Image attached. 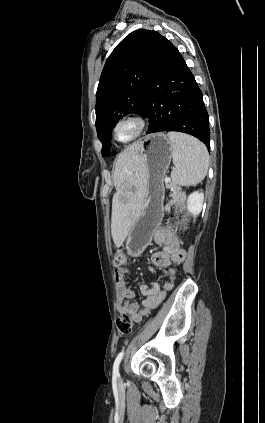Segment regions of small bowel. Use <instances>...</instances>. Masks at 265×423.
<instances>
[{
  "label": "small bowel",
  "mask_w": 265,
  "mask_h": 423,
  "mask_svg": "<svg viewBox=\"0 0 265 423\" xmlns=\"http://www.w3.org/2000/svg\"><path fill=\"white\" fill-rule=\"evenodd\" d=\"M156 245L162 247V250L155 252L151 256L153 267L151 272L158 269H167L168 275L160 286L156 282L141 284L139 287L142 295L141 307L136 302L135 292L126 285V276L129 274L127 266H120L115 273V281L117 286V303L116 309L118 313H126L135 323L142 321L150 310L157 307L165 298L166 292L173 288L174 270L170 268L171 263H182L186 256V251L181 248L180 243L171 227H161L157 229L153 236Z\"/></svg>",
  "instance_id": "1"
}]
</instances>
